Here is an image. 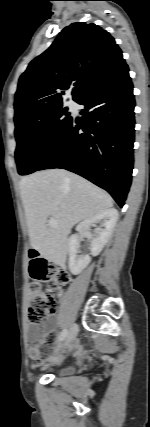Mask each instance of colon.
<instances>
[{
	"instance_id": "5ec220e1",
	"label": "colon",
	"mask_w": 150,
	"mask_h": 427,
	"mask_svg": "<svg viewBox=\"0 0 150 427\" xmlns=\"http://www.w3.org/2000/svg\"><path fill=\"white\" fill-rule=\"evenodd\" d=\"M29 272L34 282L28 289L27 315L29 322L39 324L56 312L58 302L54 293L67 283L69 275L57 264L43 258L35 248L29 250ZM39 282H47L48 289L44 290Z\"/></svg>"
}]
</instances>
